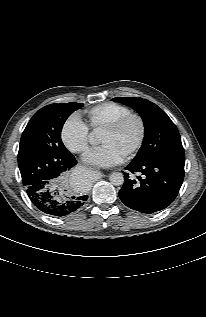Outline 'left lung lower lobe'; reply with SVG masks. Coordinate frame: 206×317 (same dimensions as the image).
Segmentation results:
<instances>
[{"label":"left lung lower lobe","instance_id":"left-lung-lower-lobe-1","mask_svg":"<svg viewBox=\"0 0 206 317\" xmlns=\"http://www.w3.org/2000/svg\"><path fill=\"white\" fill-rule=\"evenodd\" d=\"M126 170L137 174V179L124 173L120 200L129 208L143 213L165 209L176 198L184 178V166L162 161L129 163Z\"/></svg>","mask_w":206,"mask_h":317}]
</instances>
